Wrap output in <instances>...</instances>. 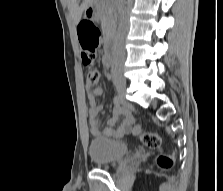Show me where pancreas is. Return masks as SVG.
Returning a JSON list of instances; mask_svg holds the SVG:
<instances>
[{"label":"pancreas","mask_w":223,"mask_h":191,"mask_svg":"<svg viewBox=\"0 0 223 191\" xmlns=\"http://www.w3.org/2000/svg\"><path fill=\"white\" fill-rule=\"evenodd\" d=\"M101 19V26L105 33H108L114 24V8L110 0H101L97 4Z\"/></svg>","instance_id":"1"}]
</instances>
